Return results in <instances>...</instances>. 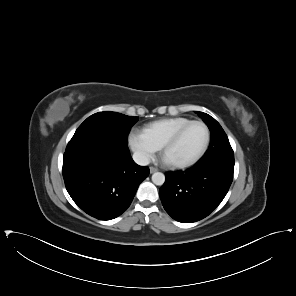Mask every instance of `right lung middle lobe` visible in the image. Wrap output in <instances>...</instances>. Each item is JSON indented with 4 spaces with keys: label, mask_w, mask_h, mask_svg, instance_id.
<instances>
[{
    "label": "right lung middle lobe",
    "mask_w": 296,
    "mask_h": 296,
    "mask_svg": "<svg viewBox=\"0 0 296 296\" xmlns=\"http://www.w3.org/2000/svg\"><path fill=\"white\" fill-rule=\"evenodd\" d=\"M138 117L116 112H99L88 117L76 130L72 139L101 137L121 144H128L127 137Z\"/></svg>",
    "instance_id": "dd1d6c3e"
}]
</instances>
